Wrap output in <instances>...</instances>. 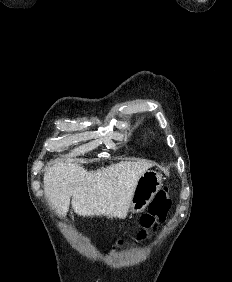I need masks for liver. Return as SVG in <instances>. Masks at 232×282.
<instances>
[{
  "label": "liver",
  "mask_w": 232,
  "mask_h": 282,
  "mask_svg": "<svg viewBox=\"0 0 232 282\" xmlns=\"http://www.w3.org/2000/svg\"><path fill=\"white\" fill-rule=\"evenodd\" d=\"M152 166L125 161L87 171L77 164L57 163L46 168L45 195L60 217L66 216L72 199V209L80 216L124 219L140 176Z\"/></svg>",
  "instance_id": "liver-1"
}]
</instances>
